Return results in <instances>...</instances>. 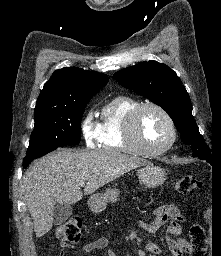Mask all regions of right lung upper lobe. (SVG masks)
Masks as SVG:
<instances>
[{
  "label": "right lung upper lobe",
  "mask_w": 221,
  "mask_h": 256,
  "mask_svg": "<svg viewBox=\"0 0 221 256\" xmlns=\"http://www.w3.org/2000/svg\"><path fill=\"white\" fill-rule=\"evenodd\" d=\"M108 82V76L78 67L56 70L39 94L34 112L75 107L84 99H91Z\"/></svg>",
  "instance_id": "obj_1"
}]
</instances>
